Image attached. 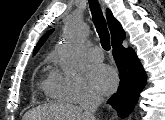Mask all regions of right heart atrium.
<instances>
[{
    "instance_id": "1",
    "label": "right heart atrium",
    "mask_w": 165,
    "mask_h": 120,
    "mask_svg": "<svg viewBox=\"0 0 165 120\" xmlns=\"http://www.w3.org/2000/svg\"><path fill=\"white\" fill-rule=\"evenodd\" d=\"M48 81L53 96L65 101L82 103L98 98L82 76H66L55 71Z\"/></svg>"
}]
</instances>
